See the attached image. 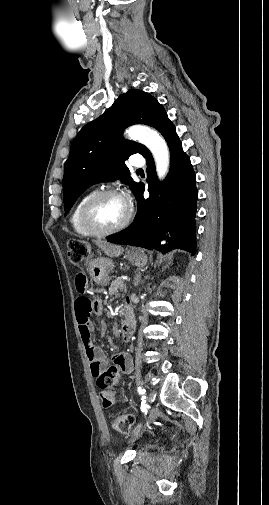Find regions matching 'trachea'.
<instances>
[{"label":"trachea","instance_id":"3493384b","mask_svg":"<svg viewBox=\"0 0 269 505\" xmlns=\"http://www.w3.org/2000/svg\"><path fill=\"white\" fill-rule=\"evenodd\" d=\"M143 170L142 169H138L137 172H142Z\"/></svg>","mask_w":269,"mask_h":505}]
</instances>
